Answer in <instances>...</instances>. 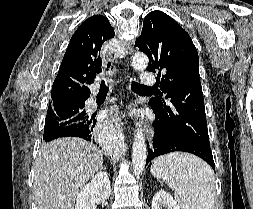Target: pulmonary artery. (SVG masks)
Returning a JSON list of instances; mask_svg holds the SVG:
<instances>
[{"label":"pulmonary artery","instance_id":"1","mask_svg":"<svg viewBox=\"0 0 253 209\" xmlns=\"http://www.w3.org/2000/svg\"><path fill=\"white\" fill-rule=\"evenodd\" d=\"M141 79H142L143 84L146 87L153 86L156 83L155 77L152 76L151 74H149L148 72H144L141 75ZM92 101H93V98L90 99V102H92Z\"/></svg>","mask_w":253,"mask_h":209}]
</instances>
